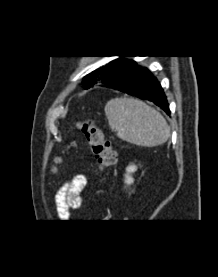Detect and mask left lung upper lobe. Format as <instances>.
<instances>
[{
	"label": "left lung upper lobe",
	"mask_w": 218,
	"mask_h": 277,
	"mask_svg": "<svg viewBox=\"0 0 218 277\" xmlns=\"http://www.w3.org/2000/svg\"><path fill=\"white\" fill-rule=\"evenodd\" d=\"M130 61L127 59H117L111 61L106 66H102L93 72L89 73L83 79V86L85 89L90 88L97 82H103L107 77H109L113 72H116L123 67H125Z\"/></svg>",
	"instance_id": "1"
}]
</instances>
